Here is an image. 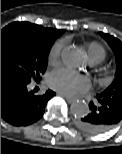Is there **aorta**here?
<instances>
[{"instance_id":"1","label":"aorta","mask_w":122,"mask_h":154,"mask_svg":"<svg viewBox=\"0 0 122 154\" xmlns=\"http://www.w3.org/2000/svg\"><path fill=\"white\" fill-rule=\"evenodd\" d=\"M63 63L69 68H77L83 62V54L76 47H67L62 51ZM70 111L74 116L82 117L89 113V106L86 102L75 101L71 104Z\"/></svg>"}]
</instances>
